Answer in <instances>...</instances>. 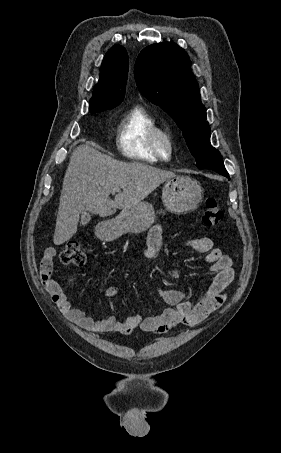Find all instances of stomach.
I'll return each mask as SVG.
<instances>
[{
	"label": "stomach",
	"mask_w": 281,
	"mask_h": 453,
	"mask_svg": "<svg viewBox=\"0 0 281 453\" xmlns=\"http://www.w3.org/2000/svg\"><path fill=\"white\" fill-rule=\"evenodd\" d=\"M203 198V188L198 180L190 176H174L166 180L162 188V202L169 212L184 214L199 206ZM155 210L146 200L137 202L130 208H122L116 218L103 220L98 224L96 235L101 241H113L124 233H144L152 227Z\"/></svg>",
	"instance_id": "1"
}]
</instances>
